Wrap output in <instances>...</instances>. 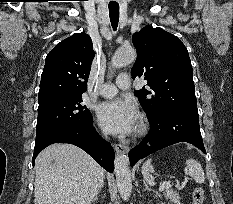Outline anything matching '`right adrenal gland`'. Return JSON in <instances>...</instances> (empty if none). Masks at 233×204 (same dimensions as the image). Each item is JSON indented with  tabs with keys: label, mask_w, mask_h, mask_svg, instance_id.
Returning <instances> with one entry per match:
<instances>
[{
	"label": "right adrenal gland",
	"mask_w": 233,
	"mask_h": 204,
	"mask_svg": "<svg viewBox=\"0 0 233 204\" xmlns=\"http://www.w3.org/2000/svg\"><path fill=\"white\" fill-rule=\"evenodd\" d=\"M100 191L95 195V197L93 198L92 202H96L98 201V195H99Z\"/></svg>",
	"instance_id": "1"
}]
</instances>
